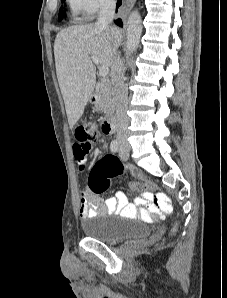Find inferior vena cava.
Wrapping results in <instances>:
<instances>
[{"mask_svg":"<svg viewBox=\"0 0 227 298\" xmlns=\"http://www.w3.org/2000/svg\"><path fill=\"white\" fill-rule=\"evenodd\" d=\"M115 0H102L100 12L97 18L96 26L109 28L115 14ZM125 66L119 53L115 54L114 62L111 67V80L113 93L116 102L117 119V140L125 142L127 140L129 118L127 116L128 90L124 83Z\"/></svg>","mask_w":227,"mask_h":298,"instance_id":"obj_1","label":"inferior vena cava"}]
</instances>
